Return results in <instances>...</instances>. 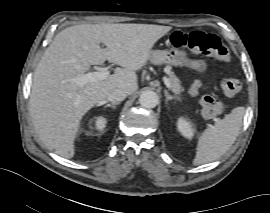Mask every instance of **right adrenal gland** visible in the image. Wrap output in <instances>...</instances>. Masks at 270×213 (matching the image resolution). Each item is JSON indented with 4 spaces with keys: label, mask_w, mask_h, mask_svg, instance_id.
Returning a JSON list of instances; mask_svg holds the SVG:
<instances>
[{
    "label": "right adrenal gland",
    "mask_w": 270,
    "mask_h": 213,
    "mask_svg": "<svg viewBox=\"0 0 270 213\" xmlns=\"http://www.w3.org/2000/svg\"><path fill=\"white\" fill-rule=\"evenodd\" d=\"M103 103H106L105 101ZM120 102H114V103H109L107 105L104 106V108H107V107H111L113 109L116 108V105H118Z\"/></svg>",
    "instance_id": "obj_1"
}]
</instances>
